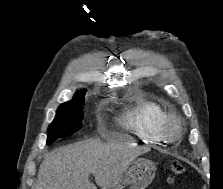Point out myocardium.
<instances>
[{
  "mask_svg": "<svg viewBox=\"0 0 223 189\" xmlns=\"http://www.w3.org/2000/svg\"><path fill=\"white\" fill-rule=\"evenodd\" d=\"M162 131L168 141L175 142L184 134L183 121L176 114H168L163 121Z\"/></svg>",
  "mask_w": 223,
  "mask_h": 189,
  "instance_id": "1",
  "label": "myocardium"
}]
</instances>
